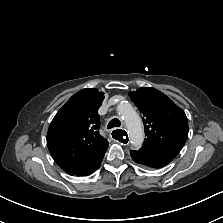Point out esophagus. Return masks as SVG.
Listing matches in <instances>:
<instances>
[{
  "label": "esophagus",
  "mask_w": 223,
  "mask_h": 223,
  "mask_svg": "<svg viewBox=\"0 0 223 223\" xmlns=\"http://www.w3.org/2000/svg\"><path fill=\"white\" fill-rule=\"evenodd\" d=\"M111 135H112V138L113 140L121 143L122 145H128L129 144V136H128V133L126 132V130L122 129H118V128H114L112 131H111Z\"/></svg>",
  "instance_id": "1"
}]
</instances>
